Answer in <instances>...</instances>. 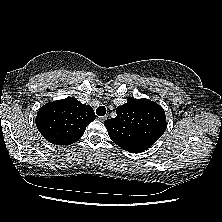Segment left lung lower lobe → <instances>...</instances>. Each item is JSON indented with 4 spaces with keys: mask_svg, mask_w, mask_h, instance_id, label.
<instances>
[{
    "mask_svg": "<svg viewBox=\"0 0 222 222\" xmlns=\"http://www.w3.org/2000/svg\"><path fill=\"white\" fill-rule=\"evenodd\" d=\"M135 153H140V152H142V151H134Z\"/></svg>",
    "mask_w": 222,
    "mask_h": 222,
    "instance_id": "left-lung-lower-lobe-1",
    "label": "left lung lower lobe"
}]
</instances>
